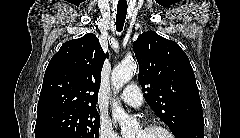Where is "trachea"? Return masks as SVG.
<instances>
[{
	"mask_svg": "<svg viewBox=\"0 0 240 138\" xmlns=\"http://www.w3.org/2000/svg\"><path fill=\"white\" fill-rule=\"evenodd\" d=\"M127 15V5H118L116 14V30L121 32Z\"/></svg>",
	"mask_w": 240,
	"mask_h": 138,
	"instance_id": "1",
	"label": "trachea"
}]
</instances>
